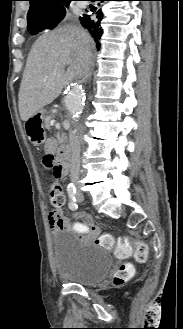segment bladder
<instances>
[{"mask_svg": "<svg viewBox=\"0 0 183 329\" xmlns=\"http://www.w3.org/2000/svg\"><path fill=\"white\" fill-rule=\"evenodd\" d=\"M51 249L60 279L82 286L101 283L112 269L110 254L102 247L83 242L69 231H58Z\"/></svg>", "mask_w": 183, "mask_h": 329, "instance_id": "bladder-1", "label": "bladder"}]
</instances>
